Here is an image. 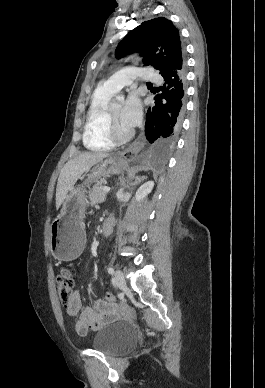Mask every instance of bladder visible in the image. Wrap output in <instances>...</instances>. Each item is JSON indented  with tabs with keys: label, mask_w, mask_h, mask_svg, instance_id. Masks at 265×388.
I'll list each match as a JSON object with an SVG mask.
<instances>
[{
	"label": "bladder",
	"mask_w": 265,
	"mask_h": 388,
	"mask_svg": "<svg viewBox=\"0 0 265 388\" xmlns=\"http://www.w3.org/2000/svg\"><path fill=\"white\" fill-rule=\"evenodd\" d=\"M133 336L134 329L130 323L116 321L97 331L92 345L96 350L108 354H112L117 350L126 351Z\"/></svg>",
	"instance_id": "bladder-1"
}]
</instances>
